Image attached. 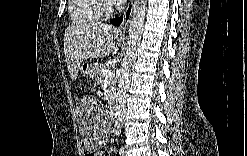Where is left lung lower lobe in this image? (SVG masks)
Returning <instances> with one entry per match:
<instances>
[{"instance_id": "left-lung-lower-lobe-1", "label": "left lung lower lobe", "mask_w": 247, "mask_h": 156, "mask_svg": "<svg viewBox=\"0 0 247 156\" xmlns=\"http://www.w3.org/2000/svg\"><path fill=\"white\" fill-rule=\"evenodd\" d=\"M122 19H123L122 17H118V18H116V19H113V20L111 21V23L114 24V25H120Z\"/></svg>"}]
</instances>
